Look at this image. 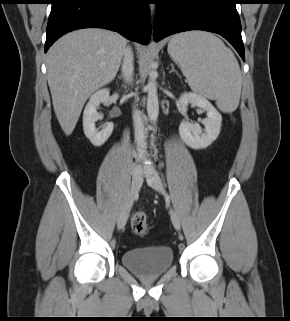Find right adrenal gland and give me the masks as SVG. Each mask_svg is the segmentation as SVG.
Masks as SVG:
<instances>
[{"instance_id":"1","label":"right adrenal gland","mask_w":290,"mask_h":321,"mask_svg":"<svg viewBox=\"0 0 290 321\" xmlns=\"http://www.w3.org/2000/svg\"><path fill=\"white\" fill-rule=\"evenodd\" d=\"M122 77L121 76H118V79H121Z\"/></svg>"}]
</instances>
